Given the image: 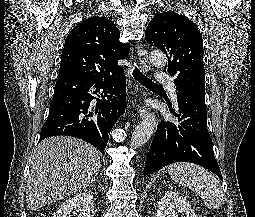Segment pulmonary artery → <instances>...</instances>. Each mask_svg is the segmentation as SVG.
Returning a JSON list of instances; mask_svg holds the SVG:
<instances>
[{
  "instance_id": "1",
  "label": "pulmonary artery",
  "mask_w": 255,
  "mask_h": 217,
  "mask_svg": "<svg viewBox=\"0 0 255 217\" xmlns=\"http://www.w3.org/2000/svg\"><path fill=\"white\" fill-rule=\"evenodd\" d=\"M157 80L159 84L165 85L170 90V95L174 103H177V91L173 78L167 75H158Z\"/></svg>"
}]
</instances>
